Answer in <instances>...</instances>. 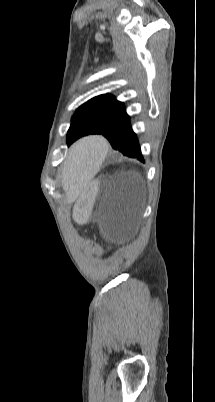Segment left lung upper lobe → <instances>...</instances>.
Masks as SVG:
<instances>
[{
  "mask_svg": "<svg viewBox=\"0 0 215 402\" xmlns=\"http://www.w3.org/2000/svg\"><path fill=\"white\" fill-rule=\"evenodd\" d=\"M125 109L123 103L111 95H100L81 105L72 117L67 133L68 145L78 138L92 134Z\"/></svg>",
  "mask_w": 215,
  "mask_h": 402,
  "instance_id": "5c2ea615",
  "label": "left lung upper lobe"
}]
</instances>
